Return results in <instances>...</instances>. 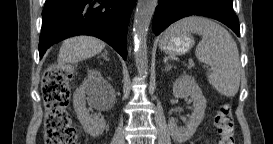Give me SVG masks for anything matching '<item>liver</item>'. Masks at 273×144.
I'll list each match as a JSON object with an SVG mask.
<instances>
[{"mask_svg":"<svg viewBox=\"0 0 273 144\" xmlns=\"http://www.w3.org/2000/svg\"><path fill=\"white\" fill-rule=\"evenodd\" d=\"M105 42L92 36H76L63 41L59 55L58 65L77 63L99 54L105 48Z\"/></svg>","mask_w":273,"mask_h":144,"instance_id":"liver-1","label":"liver"}]
</instances>
